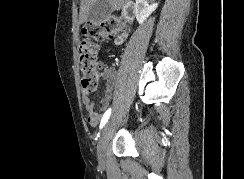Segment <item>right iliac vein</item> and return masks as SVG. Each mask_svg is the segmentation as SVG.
<instances>
[{"mask_svg":"<svg viewBox=\"0 0 244 179\" xmlns=\"http://www.w3.org/2000/svg\"><path fill=\"white\" fill-rule=\"evenodd\" d=\"M112 123H113V118H111L106 125L104 126L99 142H98V146H97V154H98V159L101 162L105 161L106 158V148L108 145V140H109V136H110V130L112 127Z\"/></svg>","mask_w":244,"mask_h":179,"instance_id":"right-iliac-vein-1","label":"right iliac vein"}]
</instances>
